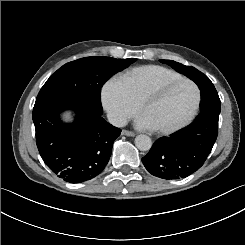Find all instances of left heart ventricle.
Listing matches in <instances>:
<instances>
[{"label": "left heart ventricle", "instance_id": "b2bd125f", "mask_svg": "<svg viewBox=\"0 0 245 245\" xmlns=\"http://www.w3.org/2000/svg\"><path fill=\"white\" fill-rule=\"evenodd\" d=\"M193 91L186 83L153 92L140 110L141 117L151 128L178 123L191 108Z\"/></svg>", "mask_w": 245, "mask_h": 245}]
</instances>
